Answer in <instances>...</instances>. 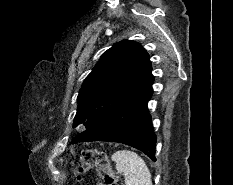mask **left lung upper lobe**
<instances>
[{
  "mask_svg": "<svg viewBox=\"0 0 233 185\" xmlns=\"http://www.w3.org/2000/svg\"><path fill=\"white\" fill-rule=\"evenodd\" d=\"M151 70L149 56L140 44L126 40L113 45L82 84L73 127H93L126 90Z\"/></svg>",
  "mask_w": 233,
  "mask_h": 185,
  "instance_id": "obj_1",
  "label": "left lung upper lobe"
}]
</instances>
